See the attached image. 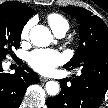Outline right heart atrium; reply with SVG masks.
Segmentation results:
<instances>
[{"label": "right heart atrium", "instance_id": "obj_1", "mask_svg": "<svg viewBox=\"0 0 108 108\" xmlns=\"http://www.w3.org/2000/svg\"><path fill=\"white\" fill-rule=\"evenodd\" d=\"M32 23L28 22L27 24H25V26L23 27L22 31H21V39L22 40H27L29 37V32L31 29Z\"/></svg>", "mask_w": 108, "mask_h": 108}]
</instances>
